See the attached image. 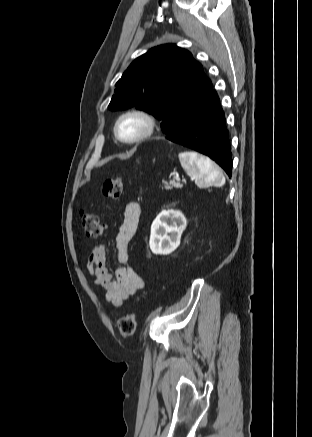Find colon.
<instances>
[{
    "label": "colon",
    "mask_w": 312,
    "mask_h": 437,
    "mask_svg": "<svg viewBox=\"0 0 312 437\" xmlns=\"http://www.w3.org/2000/svg\"><path fill=\"white\" fill-rule=\"evenodd\" d=\"M123 177L109 178L103 183L102 192L104 197L109 201V208L119 200L123 190ZM81 226L88 237H101L106 229V224L102 222L95 214L82 212ZM137 327L136 314L131 312L118 321V329L121 336L125 338L132 337Z\"/></svg>",
    "instance_id": "obj_1"
}]
</instances>
